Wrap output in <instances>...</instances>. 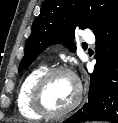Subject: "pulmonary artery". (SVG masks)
Instances as JSON below:
<instances>
[{
	"mask_svg": "<svg viewBox=\"0 0 118 123\" xmlns=\"http://www.w3.org/2000/svg\"><path fill=\"white\" fill-rule=\"evenodd\" d=\"M83 38L84 40L88 41V42H93V35L86 31L84 34H83Z\"/></svg>",
	"mask_w": 118,
	"mask_h": 123,
	"instance_id": "obj_1",
	"label": "pulmonary artery"
}]
</instances>
